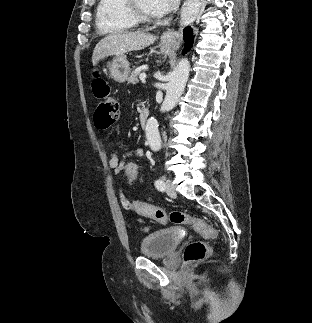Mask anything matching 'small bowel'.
Returning <instances> with one entry per match:
<instances>
[{
  "label": "small bowel",
  "mask_w": 312,
  "mask_h": 323,
  "mask_svg": "<svg viewBox=\"0 0 312 323\" xmlns=\"http://www.w3.org/2000/svg\"><path fill=\"white\" fill-rule=\"evenodd\" d=\"M143 155L144 150L142 148H135L122 154H118L117 152H111L108 159V165L116 175H119V173L121 172V167H123V165L121 164L122 158L142 157ZM119 196L120 199H125V193L121 186L119 187ZM128 208L133 209V206H128ZM140 217L145 219L154 218L153 216Z\"/></svg>",
  "instance_id": "small-bowel-1"
}]
</instances>
